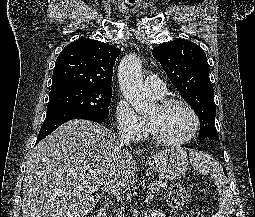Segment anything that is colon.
Wrapping results in <instances>:
<instances>
[{"label": "colon", "mask_w": 255, "mask_h": 217, "mask_svg": "<svg viewBox=\"0 0 255 217\" xmlns=\"http://www.w3.org/2000/svg\"><path fill=\"white\" fill-rule=\"evenodd\" d=\"M169 201L172 207L181 208L188 201L187 192L182 186L174 185L170 190Z\"/></svg>", "instance_id": "1"}]
</instances>
